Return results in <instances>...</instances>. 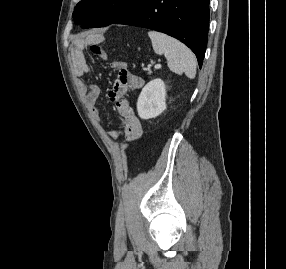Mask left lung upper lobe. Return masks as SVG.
<instances>
[{
	"instance_id": "1",
	"label": "left lung upper lobe",
	"mask_w": 286,
	"mask_h": 269,
	"mask_svg": "<svg viewBox=\"0 0 286 269\" xmlns=\"http://www.w3.org/2000/svg\"><path fill=\"white\" fill-rule=\"evenodd\" d=\"M144 0H81L73 12L76 23L83 27H104L120 20Z\"/></svg>"
}]
</instances>
